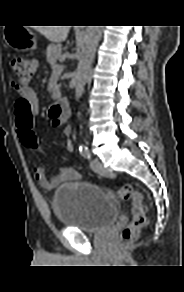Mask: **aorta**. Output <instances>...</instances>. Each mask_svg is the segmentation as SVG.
Listing matches in <instances>:
<instances>
[{
  "label": "aorta",
  "mask_w": 184,
  "mask_h": 292,
  "mask_svg": "<svg viewBox=\"0 0 184 292\" xmlns=\"http://www.w3.org/2000/svg\"><path fill=\"white\" fill-rule=\"evenodd\" d=\"M103 26H87L79 53V63L75 73V97L79 99L84 91L96 48L102 36Z\"/></svg>",
  "instance_id": "1"
}]
</instances>
